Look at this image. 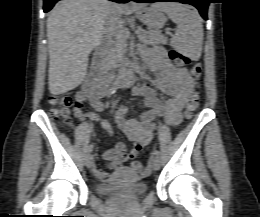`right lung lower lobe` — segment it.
Wrapping results in <instances>:
<instances>
[{"label": "right lung lower lobe", "mask_w": 260, "mask_h": 217, "mask_svg": "<svg viewBox=\"0 0 260 217\" xmlns=\"http://www.w3.org/2000/svg\"><path fill=\"white\" fill-rule=\"evenodd\" d=\"M58 1L59 0H44V7H43L44 12H48ZM111 1H115L118 3H127L128 1H132V0H111Z\"/></svg>", "instance_id": "98d812e1"}]
</instances>
